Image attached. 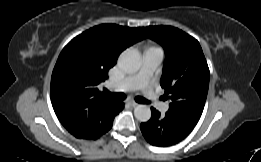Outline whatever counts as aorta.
Wrapping results in <instances>:
<instances>
[{
    "label": "aorta",
    "instance_id": "obj_1",
    "mask_svg": "<svg viewBox=\"0 0 261 162\" xmlns=\"http://www.w3.org/2000/svg\"><path fill=\"white\" fill-rule=\"evenodd\" d=\"M119 67L126 73H135L141 66V56L134 49H127L118 58ZM134 116L140 122H147L151 118V109L147 105H138L134 109Z\"/></svg>",
    "mask_w": 261,
    "mask_h": 162
}]
</instances>
